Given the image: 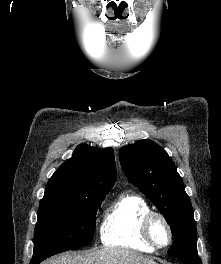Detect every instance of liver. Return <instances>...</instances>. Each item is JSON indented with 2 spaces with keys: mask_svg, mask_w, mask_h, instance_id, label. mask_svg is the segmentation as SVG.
Here are the masks:
<instances>
[{
  "mask_svg": "<svg viewBox=\"0 0 221 264\" xmlns=\"http://www.w3.org/2000/svg\"><path fill=\"white\" fill-rule=\"evenodd\" d=\"M149 257L123 248H103L85 254H63L42 264H147Z\"/></svg>",
  "mask_w": 221,
  "mask_h": 264,
  "instance_id": "6515ba94",
  "label": "liver"
}]
</instances>
